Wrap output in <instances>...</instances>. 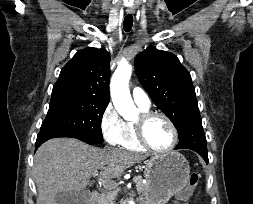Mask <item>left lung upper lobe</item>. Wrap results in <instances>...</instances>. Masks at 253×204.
Wrapping results in <instances>:
<instances>
[{"instance_id":"left-lung-upper-lobe-1","label":"left lung upper lobe","mask_w":253,"mask_h":204,"mask_svg":"<svg viewBox=\"0 0 253 204\" xmlns=\"http://www.w3.org/2000/svg\"><path fill=\"white\" fill-rule=\"evenodd\" d=\"M140 83L173 122L179 136L201 118L190 73L172 53L148 47L135 58Z\"/></svg>"}]
</instances>
